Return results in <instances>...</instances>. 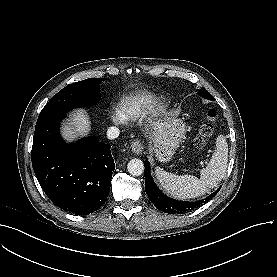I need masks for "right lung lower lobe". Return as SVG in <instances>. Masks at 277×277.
Wrapping results in <instances>:
<instances>
[{
  "mask_svg": "<svg viewBox=\"0 0 277 277\" xmlns=\"http://www.w3.org/2000/svg\"><path fill=\"white\" fill-rule=\"evenodd\" d=\"M64 113L38 118L32 146V166L49 199L76 215L100 208L110 191L115 170L111 145L93 137L65 143L59 133Z\"/></svg>",
  "mask_w": 277,
  "mask_h": 277,
  "instance_id": "obj_1",
  "label": "right lung lower lobe"
}]
</instances>
